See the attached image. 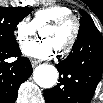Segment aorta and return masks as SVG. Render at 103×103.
I'll return each mask as SVG.
<instances>
[{
  "label": "aorta",
  "mask_w": 103,
  "mask_h": 103,
  "mask_svg": "<svg viewBox=\"0 0 103 103\" xmlns=\"http://www.w3.org/2000/svg\"><path fill=\"white\" fill-rule=\"evenodd\" d=\"M34 80L42 88H52L58 80V71L53 65H40L34 70Z\"/></svg>",
  "instance_id": "aorta-1"
}]
</instances>
